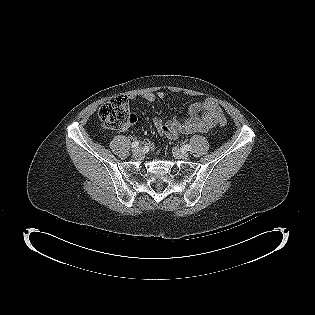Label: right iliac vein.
<instances>
[{
  "label": "right iliac vein",
  "instance_id": "right-iliac-vein-1",
  "mask_svg": "<svg viewBox=\"0 0 315 315\" xmlns=\"http://www.w3.org/2000/svg\"><path fill=\"white\" fill-rule=\"evenodd\" d=\"M142 154V149L140 147H137L133 150V155L135 157L140 156Z\"/></svg>",
  "mask_w": 315,
  "mask_h": 315
}]
</instances>
